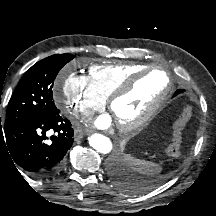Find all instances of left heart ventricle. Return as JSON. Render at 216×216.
<instances>
[{"label": "left heart ventricle", "instance_id": "obj_1", "mask_svg": "<svg viewBox=\"0 0 216 216\" xmlns=\"http://www.w3.org/2000/svg\"><path fill=\"white\" fill-rule=\"evenodd\" d=\"M167 86V78L161 72H153L137 83L134 90L118 100L113 107V119L130 122L138 119L158 98Z\"/></svg>", "mask_w": 216, "mask_h": 216}]
</instances>
